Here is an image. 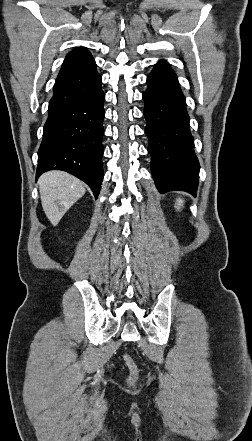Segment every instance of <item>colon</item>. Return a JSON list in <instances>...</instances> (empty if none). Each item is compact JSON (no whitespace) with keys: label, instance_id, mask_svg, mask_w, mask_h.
I'll list each match as a JSON object with an SVG mask.
<instances>
[{"label":"colon","instance_id":"5ec220e1","mask_svg":"<svg viewBox=\"0 0 252 441\" xmlns=\"http://www.w3.org/2000/svg\"><path fill=\"white\" fill-rule=\"evenodd\" d=\"M124 362L132 374L136 372V364H135L134 360L132 359L131 355L125 354L124 355Z\"/></svg>","mask_w":252,"mask_h":441}]
</instances>
